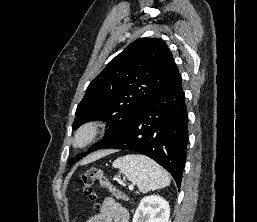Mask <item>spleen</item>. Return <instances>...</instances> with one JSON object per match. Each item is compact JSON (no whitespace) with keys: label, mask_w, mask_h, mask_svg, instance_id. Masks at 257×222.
Masks as SVG:
<instances>
[{"label":"spleen","mask_w":257,"mask_h":222,"mask_svg":"<svg viewBox=\"0 0 257 222\" xmlns=\"http://www.w3.org/2000/svg\"><path fill=\"white\" fill-rule=\"evenodd\" d=\"M113 167L132 183L137 184L140 192L147 193L170 185L168 173L155 161L139 154H129L117 158Z\"/></svg>","instance_id":"obj_1"}]
</instances>
